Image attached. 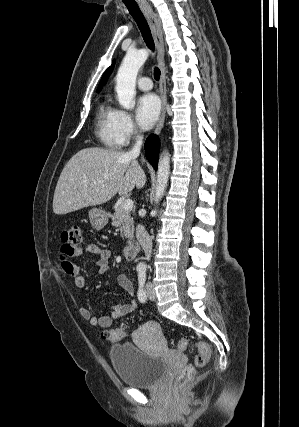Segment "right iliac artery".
I'll return each mask as SVG.
<instances>
[{
  "mask_svg": "<svg viewBox=\"0 0 299 427\" xmlns=\"http://www.w3.org/2000/svg\"><path fill=\"white\" fill-rule=\"evenodd\" d=\"M142 270V268H138V271Z\"/></svg>",
  "mask_w": 299,
  "mask_h": 427,
  "instance_id": "right-iliac-artery-1",
  "label": "right iliac artery"
}]
</instances>
